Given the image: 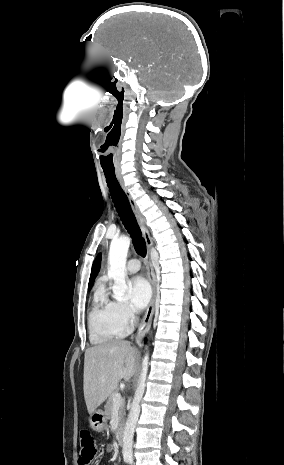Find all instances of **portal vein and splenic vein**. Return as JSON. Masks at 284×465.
Here are the masks:
<instances>
[{
    "label": "portal vein and splenic vein",
    "instance_id": "18ae733b",
    "mask_svg": "<svg viewBox=\"0 0 284 465\" xmlns=\"http://www.w3.org/2000/svg\"><path fill=\"white\" fill-rule=\"evenodd\" d=\"M121 405H123L121 393H116L113 397V407H121Z\"/></svg>",
    "mask_w": 284,
    "mask_h": 465
}]
</instances>
